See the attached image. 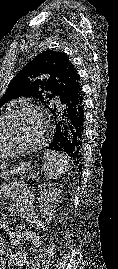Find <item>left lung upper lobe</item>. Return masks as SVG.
<instances>
[{
	"instance_id": "left-lung-upper-lobe-1",
	"label": "left lung upper lobe",
	"mask_w": 118,
	"mask_h": 269,
	"mask_svg": "<svg viewBox=\"0 0 118 269\" xmlns=\"http://www.w3.org/2000/svg\"><path fill=\"white\" fill-rule=\"evenodd\" d=\"M81 89L80 77L68 56L46 50L30 61L9 83L0 107L13 98H39L52 111L55 101Z\"/></svg>"
}]
</instances>
